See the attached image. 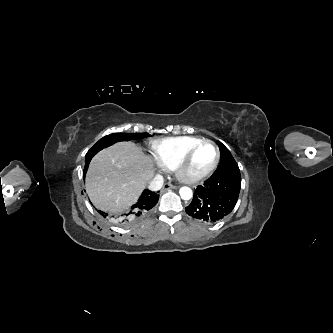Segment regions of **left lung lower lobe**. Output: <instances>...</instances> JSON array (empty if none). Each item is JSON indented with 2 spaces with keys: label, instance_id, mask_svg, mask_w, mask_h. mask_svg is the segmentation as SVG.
<instances>
[{
  "label": "left lung lower lobe",
  "instance_id": "0a47b994",
  "mask_svg": "<svg viewBox=\"0 0 333 333\" xmlns=\"http://www.w3.org/2000/svg\"><path fill=\"white\" fill-rule=\"evenodd\" d=\"M241 188L238 165L216 170L196 188L186 213L202 222L214 223L227 216L235 207Z\"/></svg>",
  "mask_w": 333,
  "mask_h": 333
}]
</instances>
